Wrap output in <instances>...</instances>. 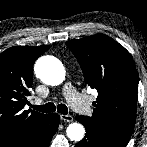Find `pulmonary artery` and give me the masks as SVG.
Here are the masks:
<instances>
[{
    "mask_svg": "<svg viewBox=\"0 0 147 147\" xmlns=\"http://www.w3.org/2000/svg\"><path fill=\"white\" fill-rule=\"evenodd\" d=\"M63 95L74 110L81 113H84L88 110V104L85 98L79 92L76 91V89L72 86L71 83H66L64 85ZM40 102V99L35 100L36 104H39Z\"/></svg>",
    "mask_w": 147,
    "mask_h": 147,
    "instance_id": "e3ab8cb5",
    "label": "pulmonary artery"
}]
</instances>
